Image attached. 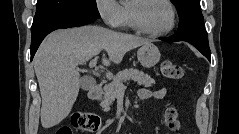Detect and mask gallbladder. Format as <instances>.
I'll use <instances>...</instances> for the list:
<instances>
[{"label": "gallbladder", "instance_id": "gallbladder-1", "mask_svg": "<svg viewBox=\"0 0 239 134\" xmlns=\"http://www.w3.org/2000/svg\"><path fill=\"white\" fill-rule=\"evenodd\" d=\"M95 84V81L89 77H83L81 79V87L84 89V90H88L90 89L91 87H93Z\"/></svg>", "mask_w": 239, "mask_h": 134}]
</instances>
